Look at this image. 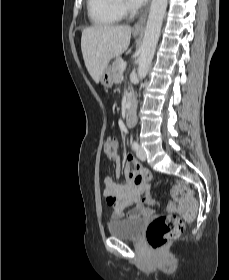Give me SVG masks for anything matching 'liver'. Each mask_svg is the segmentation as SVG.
I'll return each mask as SVG.
<instances>
[{"label":"liver","mask_w":229,"mask_h":280,"mask_svg":"<svg viewBox=\"0 0 229 280\" xmlns=\"http://www.w3.org/2000/svg\"><path fill=\"white\" fill-rule=\"evenodd\" d=\"M130 38L131 27L127 25H96L83 30L82 55L95 83H99L109 62L126 51Z\"/></svg>","instance_id":"obj_1"}]
</instances>
